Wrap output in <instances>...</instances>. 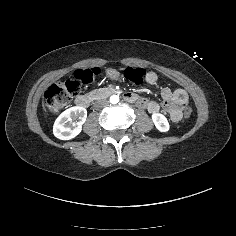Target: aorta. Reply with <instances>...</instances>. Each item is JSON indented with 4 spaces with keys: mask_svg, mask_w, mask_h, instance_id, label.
<instances>
[{
    "mask_svg": "<svg viewBox=\"0 0 236 236\" xmlns=\"http://www.w3.org/2000/svg\"><path fill=\"white\" fill-rule=\"evenodd\" d=\"M119 102V97L117 95H113L110 97V103L117 104Z\"/></svg>",
    "mask_w": 236,
    "mask_h": 236,
    "instance_id": "762f6f07",
    "label": "aorta"
}]
</instances>
